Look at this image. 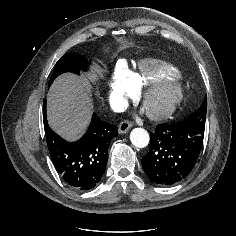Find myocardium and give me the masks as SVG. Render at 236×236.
<instances>
[{"label":"myocardium","mask_w":236,"mask_h":236,"mask_svg":"<svg viewBox=\"0 0 236 236\" xmlns=\"http://www.w3.org/2000/svg\"><path fill=\"white\" fill-rule=\"evenodd\" d=\"M166 94L164 105L158 110H151L147 107L150 96L155 92ZM143 107L149 118L153 120H163L171 116L183 99V88L176 78H163L146 84L139 93Z\"/></svg>","instance_id":"myocardium-1"}]
</instances>
